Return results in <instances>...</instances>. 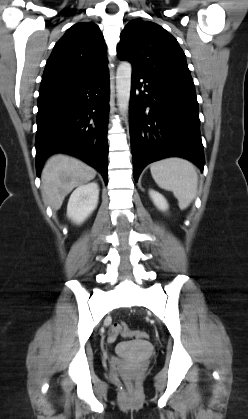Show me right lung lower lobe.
<instances>
[{
    "label": "right lung lower lobe",
    "instance_id": "1",
    "mask_svg": "<svg viewBox=\"0 0 248 419\" xmlns=\"http://www.w3.org/2000/svg\"><path fill=\"white\" fill-rule=\"evenodd\" d=\"M108 68L78 82L39 90L36 168L56 152L74 155L96 168L107 182Z\"/></svg>",
    "mask_w": 248,
    "mask_h": 419
}]
</instances>
